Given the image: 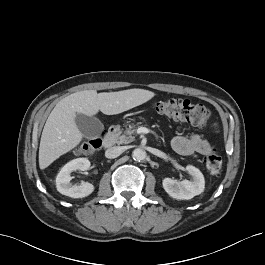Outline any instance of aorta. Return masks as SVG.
Masks as SVG:
<instances>
[{"mask_svg":"<svg viewBox=\"0 0 265 265\" xmlns=\"http://www.w3.org/2000/svg\"><path fill=\"white\" fill-rule=\"evenodd\" d=\"M146 156L147 154L145 150L140 149V148L134 149V151L132 152L133 159L139 162L146 159Z\"/></svg>","mask_w":265,"mask_h":265,"instance_id":"aorta-1","label":"aorta"}]
</instances>
